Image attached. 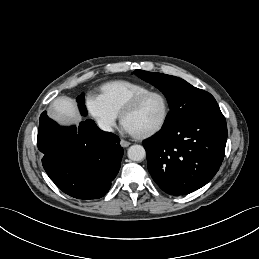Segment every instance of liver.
Returning a JSON list of instances; mask_svg holds the SVG:
<instances>
[{
	"label": "liver",
	"instance_id": "obj_1",
	"mask_svg": "<svg viewBox=\"0 0 259 259\" xmlns=\"http://www.w3.org/2000/svg\"><path fill=\"white\" fill-rule=\"evenodd\" d=\"M49 115L62 124H66L68 121L72 120H81L74 101L68 97H59L55 99L52 103Z\"/></svg>",
	"mask_w": 259,
	"mask_h": 259
}]
</instances>
